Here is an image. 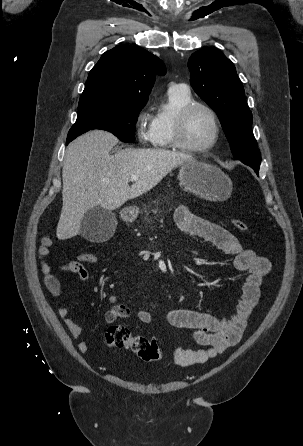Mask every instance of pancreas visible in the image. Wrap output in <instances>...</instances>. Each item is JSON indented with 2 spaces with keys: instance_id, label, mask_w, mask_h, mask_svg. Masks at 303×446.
Segmentation results:
<instances>
[{
  "instance_id": "1",
  "label": "pancreas",
  "mask_w": 303,
  "mask_h": 446,
  "mask_svg": "<svg viewBox=\"0 0 303 446\" xmlns=\"http://www.w3.org/2000/svg\"><path fill=\"white\" fill-rule=\"evenodd\" d=\"M155 213L157 212V209L153 210Z\"/></svg>"
}]
</instances>
